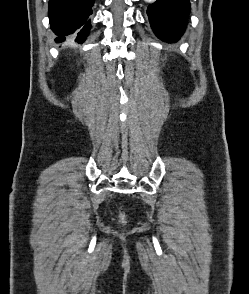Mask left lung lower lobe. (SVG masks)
I'll use <instances>...</instances> for the list:
<instances>
[{
    "label": "left lung lower lobe",
    "mask_w": 249,
    "mask_h": 294,
    "mask_svg": "<svg viewBox=\"0 0 249 294\" xmlns=\"http://www.w3.org/2000/svg\"><path fill=\"white\" fill-rule=\"evenodd\" d=\"M189 11V0H157L147 13L155 34L164 41L175 42L186 27Z\"/></svg>",
    "instance_id": "left-lung-lower-lobe-1"
}]
</instances>
